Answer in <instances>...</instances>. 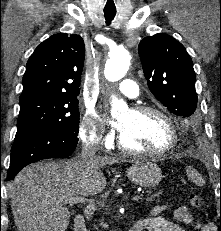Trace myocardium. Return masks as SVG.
<instances>
[{
    "label": "myocardium",
    "mask_w": 221,
    "mask_h": 231,
    "mask_svg": "<svg viewBox=\"0 0 221 231\" xmlns=\"http://www.w3.org/2000/svg\"><path fill=\"white\" fill-rule=\"evenodd\" d=\"M132 112L136 114H156L160 117H162L169 125L171 130V142L170 144L158 151H145V150H137L133 149L131 147H128L122 139L121 132L118 135L117 138V145L118 147L125 153L131 154V155H139V156H147V157H162L173 151L179 141V134H178V128L176 125V122L174 118L165 110L155 107V106H149V105H137L134 106L131 109Z\"/></svg>",
    "instance_id": "f54148a6"
}]
</instances>
